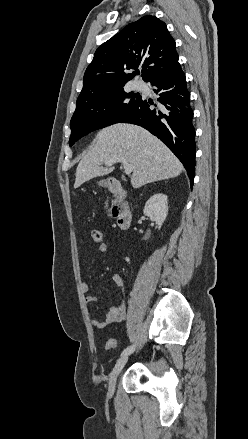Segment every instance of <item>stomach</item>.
<instances>
[{"label":"stomach","instance_id":"stomach-1","mask_svg":"<svg viewBox=\"0 0 248 439\" xmlns=\"http://www.w3.org/2000/svg\"><path fill=\"white\" fill-rule=\"evenodd\" d=\"M106 184H107V181H106V180H101V181L99 182V185H100V186H106Z\"/></svg>","mask_w":248,"mask_h":439}]
</instances>
